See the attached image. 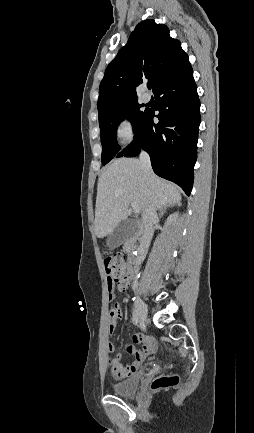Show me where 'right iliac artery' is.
Wrapping results in <instances>:
<instances>
[{
	"label": "right iliac artery",
	"instance_id": "obj_1",
	"mask_svg": "<svg viewBox=\"0 0 254 433\" xmlns=\"http://www.w3.org/2000/svg\"><path fill=\"white\" fill-rule=\"evenodd\" d=\"M132 320L135 325L138 324L139 318L136 313H133Z\"/></svg>",
	"mask_w": 254,
	"mask_h": 433
}]
</instances>
